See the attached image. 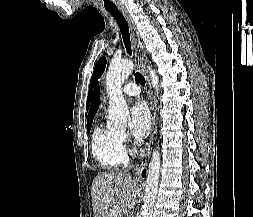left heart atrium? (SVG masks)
<instances>
[{
    "instance_id": "obj_1",
    "label": "left heart atrium",
    "mask_w": 253,
    "mask_h": 217,
    "mask_svg": "<svg viewBox=\"0 0 253 217\" xmlns=\"http://www.w3.org/2000/svg\"><path fill=\"white\" fill-rule=\"evenodd\" d=\"M151 125L150 114L147 106L142 101H137L130 111V128L133 135L138 138H144Z\"/></svg>"
}]
</instances>
